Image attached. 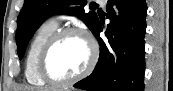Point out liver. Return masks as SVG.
<instances>
[{
	"label": "liver",
	"mask_w": 173,
	"mask_h": 91,
	"mask_svg": "<svg viewBox=\"0 0 173 91\" xmlns=\"http://www.w3.org/2000/svg\"><path fill=\"white\" fill-rule=\"evenodd\" d=\"M15 91H35L33 87H26V88H22V89H17Z\"/></svg>",
	"instance_id": "1"
}]
</instances>
